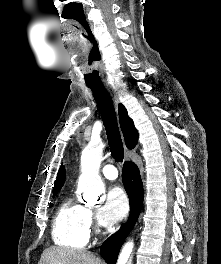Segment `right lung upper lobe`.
I'll list each match as a JSON object with an SVG mask.
<instances>
[{"mask_svg":"<svg viewBox=\"0 0 221 264\" xmlns=\"http://www.w3.org/2000/svg\"><path fill=\"white\" fill-rule=\"evenodd\" d=\"M118 112H119L120 126L124 135L126 146L129 149H133L138 141V131L134 127V123L132 119L128 116L127 110L122 104H119ZM64 181H65V169L62 166L58 172L57 179L55 181V188L53 192L54 195H56L57 192L61 189Z\"/></svg>","mask_w":221,"mask_h":264,"instance_id":"obj_1","label":"right lung upper lobe"}]
</instances>
